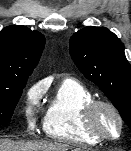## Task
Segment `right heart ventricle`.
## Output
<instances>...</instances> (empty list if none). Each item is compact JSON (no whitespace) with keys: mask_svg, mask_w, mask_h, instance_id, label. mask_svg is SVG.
<instances>
[{"mask_svg":"<svg viewBox=\"0 0 131 151\" xmlns=\"http://www.w3.org/2000/svg\"><path fill=\"white\" fill-rule=\"evenodd\" d=\"M94 99L91 91L78 80L66 78L50 97L43 118L45 134L55 140L96 145L101 142L83 124L85 106Z\"/></svg>","mask_w":131,"mask_h":151,"instance_id":"e07e8e85","label":"right heart ventricle"}]
</instances>
